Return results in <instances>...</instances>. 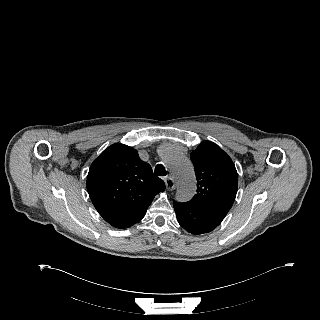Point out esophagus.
I'll list each match as a JSON object with an SVG mask.
<instances>
[{
  "label": "esophagus",
  "instance_id": "34e87169",
  "mask_svg": "<svg viewBox=\"0 0 320 320\" xmlns=\"http://www.w3.org/2000/svg\"><path fill=\"white\" fill-rule=\"evenodd\" d=\"M165 185H166L167 190H169V191H172L175 189V182L171 177H167L165 179Z\"/></svg>",
  "mask_w": 320,
  "mask_h": 320
}]
</instances>
